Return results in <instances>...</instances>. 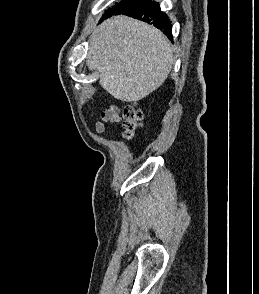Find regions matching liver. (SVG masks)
<instances>
[{
	"label": "liver",
	"mask_w": 259,
	"mask_h": 294,
	"mask_svg": "<svg viewBox=\"0 0 259 294\" xmlns=\"http://www.w3.org/2000/svg\"><path fill=\"white\" fill-rule=\"evenodd\" d=\"M174 62L172 46L155 27L115 16L92 33L87 66L99 72L100 85L114 98L137 102L159 88Z\"/></svg>",
	"instance_id": "1"
}]
</instances>
